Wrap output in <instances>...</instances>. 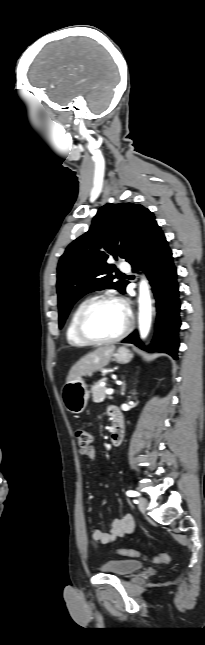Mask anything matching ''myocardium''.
<instances>
[{"label": "myocardium", "instance_id": "obj_1", "mask_svg": "<svg viewBox=\"0 0 205 645\" xmlns=\"http://www.w3.org/2000/svg\"><path fill=\"white\" fill-rule=\"evenodd\" d=\"M105 302H116L119 303L120 301L113 295L110 294H105V295H100L95 298H92L88 300L83 307L81 308L78 317H77V333L80 336L82 340H84L88 344H93V345H101V344H108V343H113L117 342L121 339H123L130 331L131 329V316L128 313V311H125L126 314V321L123 329L116 335L108 338H99L93 336L87 329V319L88 316L91 312V310L96 307L99 304L105 303Z\"/></svg>", "mask_w": 205, "mask_h": 645}]
</instances>
